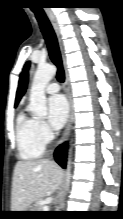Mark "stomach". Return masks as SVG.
Segmentation results:
<instances>
[{
	"mask_svg": "<svg viewBox=\"0 0 123 219\" xmlns=\"http://www.w3.org/2000/svg\"><path fill=\"white\" fill-rule=\"evenodd\" d=\"M25 211H35L34 207H28V209H26ZM24 216H31V212H26L23 214Z\"/></svg>",
	"mask_w": 123,
	"mask_h": 219,
	"instance_id": "stomach-1",
	"label": "stomach"
}]
</instances>
